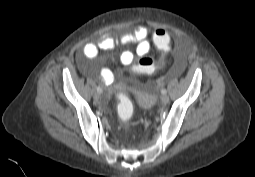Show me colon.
Returning <instances> with one entry per match:
<instances>
[{"label":"colon","mask_w":255,"mask_h":177,"mask_svg":"<svg viewBox=\"0 0 255 177\" xmlns=\"http://www.w3.org/2000/svg\"><path fill=\"white\" fill-rule=\"evenodd\" d=\"M152 45L157 48L159 56L156 61L149 57H143L133 70L137 73H152L166 67V59L171 48V40L165 29H156L151 39ZM134 112V106L126 93L118 94L117 117L123 125H128Z\"/></svg>","instance_id":"5ec220e1"}]
</instances>
